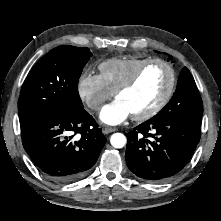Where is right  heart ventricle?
Instances as JSON below:
<instances>
[{
  "label": "right heart ventricle",
  "mask_w": 221,
  "mask_h": 221,
  "mask_svg": "<svg viewBox=\"0 0 221 221\" xmlns=\"http://www.w3.org/2000/svg\"><path fill=\"white\" fill-rule=\"evenodd\" d=\"M146 60L139 57L111 58L99 64V75L107 88L114 92Z\"/></svg>",
  "instance_id": "right-heart-ventricle-1"
}]
</instances>
